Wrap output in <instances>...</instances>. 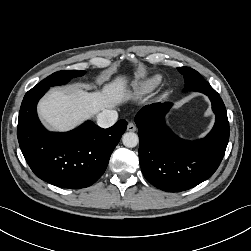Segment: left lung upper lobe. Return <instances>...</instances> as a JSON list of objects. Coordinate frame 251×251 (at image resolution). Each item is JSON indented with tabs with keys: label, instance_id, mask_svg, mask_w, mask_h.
<instances>
[{
	"label": "left lung upper lobe",
	"instance_id": "1",
	"mask_svg": "<svg viewBox=\"0 0 251 251\" xmlns=\"http://www.w3.org/2000/svg\"><path fill=\"white\" fill-rule=\"evenodd\" d=\"M178 71L184 76L185 88L199 87L206 84L205 79L194 69L189 67H179Z\"/></svg>",
	"mask_w": 251,
	"mask_h": 251
}]
</instances>
